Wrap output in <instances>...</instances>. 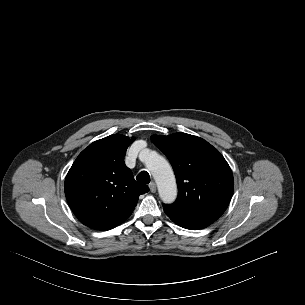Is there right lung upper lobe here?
<instances>
[{
    "instance_id": "1",
    "label": "right lung upper lobe",
    "mask_w": 305,
    "mask_h": 305,
    "mask_svg": "<svg viewBox=\"0 0 305 305\" xmlns=\"http://www.w3.org/2000/svg\"><path fill=\"white\" fill-rule=\"evenodd\" d=\"M135 140L114 134L91 143L74 161L65 179V196L86 226L110 230L133 212L148 186L134 180L124 157Z\"/></svg>"
}]
</instances>
